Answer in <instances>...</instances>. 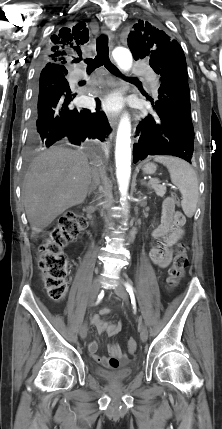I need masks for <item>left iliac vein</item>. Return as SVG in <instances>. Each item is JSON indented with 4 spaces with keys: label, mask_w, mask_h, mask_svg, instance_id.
<instances>
[{
    "label": "left iliac vein",
    "mask_w": 222,
    "mask_h": 429,
    "mask_svg": "<svg viewBox=\"0 0 222 429\" xmlns=\"http://www.w3.org/2000/svg\"><path fill=\"white\" fill-rule=\"evenodd\" d=\"M114 292L123 300L128 301L129 299L128 292L122 285H118L117 287H115ZM139 332H140L141 341L146 342L148 338V330L142 320H140L139 322Z\"/></svg>",
    "instance_id": "obj_1"
}]
</instances>
